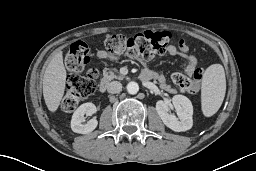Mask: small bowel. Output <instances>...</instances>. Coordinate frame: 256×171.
<instances>
[{
    "label": "small bowel",
    "instance_id": "small-bowel-1",
    "mask_svg": "<svg viewBox=\"0 0 256 171\" xmlns=\"http://www.w3.org/2000/svg\"><path fill=\"white\" fill-rule=\"evenodd\" d=\"M167 51L172 56H178L182 58L185 61L184 65V71L188 75H192L193 72L196 69L197 66V59L196 57L190 52V48L186 45V43L183 40H179L174 44H171L168 46ZM97 59H110L112 56L104 51L99 50L96 53ZM142 79L148 80V79H155L158 81V83L166 90H169L170 87L166 82V79L163 75L155 73L151 70H145L142 73Z\"/></svg>",
    "mask_w": 256,
    "mask_h": 171
}]
</instances>
